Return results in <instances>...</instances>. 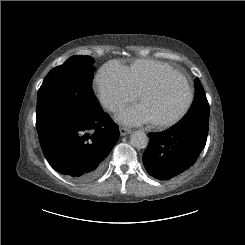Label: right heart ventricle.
<instances>
[{
    "instance_id": "obj_1",
    "label": "right heart ventricle",
    "mask_w": 245,
    "mask_h": 245,
    "mask_svg": "<svg viewBox=\"0 0 245 245\" xmlns=\"http://www.w3.org/2000/svg\"><path fill=\"white\" fill-rule=\"evenodd\" d=\"M126 69L133 87L139 94L144 88L152 84L161 73L174 68L167 63L150 59H139L126 67Z\"/></svg>"
}]
</instances>
